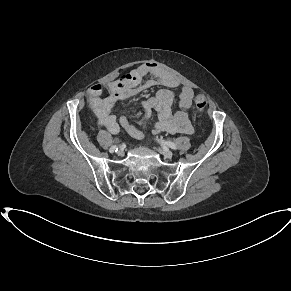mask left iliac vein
Here are the masks:
<instances>
[{"label": "left iliac vein", "instance_id": "left-iliac-vein-1", "mask_svg": "<svg viewBox=\"0 0 291 291\" xmlns=\"http://www.w3.org/2000/svg\"><path fill=\"white\" fill-rule=\"evenodd\" d=\"M159 152L166 158H172L173 153L167 148H159Z\"/></svg>", "mask_w": 291, "mask_h": 291}]
</instances>
